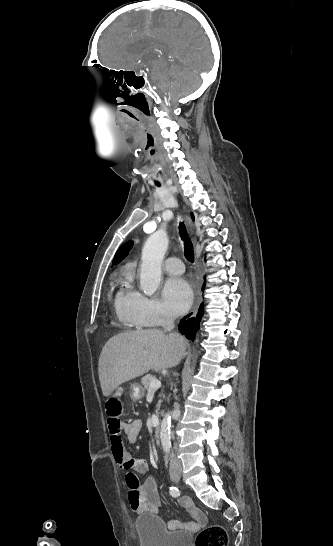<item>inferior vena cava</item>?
Returning <instances> with one entry per match:
<instances>
[{
	"label": "inferior vena cava",
	"instance_id": "inferior-vena-cava-1",
	"mask_svg": "<svg viewBox=\"0 0 333 546\" xmlns=\"http://www.w3.org/2000/svg\"><path fill=\"white\" fill-rule=\"evenodd\" d=\"M162 326L165 331H172L175 327L173 317L166 315L163 319ZM180 466H181L180 461L177 459L176 454L172 452L170 454V467L175 468Z\"/></svg>",
	"mask_w": 333,
	"mask_h": 546
}]
</instances>
